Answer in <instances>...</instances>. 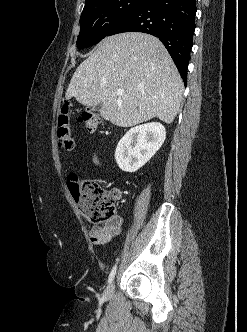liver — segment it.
<instances>
[{"instance_id":"1","label":"liver","mask_w":247,"mask_h":332,"mask_svg":"<svg viewBox=\"0 0 247 332\" xmlns=\"http://www.w3.org/2000/svg\"><path fill=\"white\" fill-rule=\"evenodd\" d=\"M118 89L123 90L120 96ZM183 90L179 72L159 39L127 32L97 45L74 72L65 96L88 107L101 103L105 120L131 127L154 117L172 123Z\"/></svg>"}]
</instances>
